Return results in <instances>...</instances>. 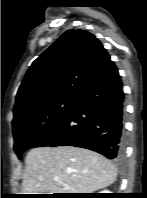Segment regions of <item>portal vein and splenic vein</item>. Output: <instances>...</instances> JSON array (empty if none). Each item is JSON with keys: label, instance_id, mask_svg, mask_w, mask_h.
<instances>
[{"label": "portal vein and splenic vein", "instance_id": "portal-vein-and-splenic-vein-1", "mask_svg": "<svg viewBox=\"0 0 147 198\" xmlns=\"http://www.w3.org/2000/svg\"><path fill=\"white\" fill-rule=\"evenodd\" d=\"M54 180H55L56 182H60V180H59L58 178H55ZM62 185H64L65 187H67L66 184H63V183H62Z\"/></svg>", "mask_w": 147, "mask_h": 198}]
</instances>
